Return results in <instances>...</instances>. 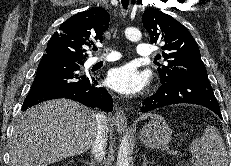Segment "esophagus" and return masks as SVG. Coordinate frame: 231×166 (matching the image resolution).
<instances>
[{"label": "esophagus", "instance_id": "1", "mask_svg": "<svg viewBox=\"0 0 231 166\" xmlns=\"http://www.w3.org/2000/svg\"><path fill=\"white\" fill-rule=\"evenodd\" d=\"M114 124L119 132L127 129V119L122 109L117 110L114 116Z\"/></svg>", "mask_w": 231, "mask_h": 166}]
</instances>
